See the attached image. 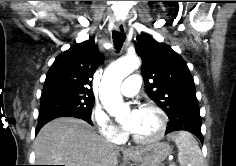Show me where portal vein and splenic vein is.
<instances>
[{
  "label": "portal vein and splenic vein",
  "mask_w": 236,
  "mask_h": 166,
  "mask_svg": "<svg viewBox=\"0 0 236 166\" xmlns=\"http://www.w3.org/2000/svg\"><path fill=\"white\" fill-rule=\"evenodd\" d=\"M169 166H175V165L172 163V164H170Z\"/></svg>",
  "instance_id": "portal-vein-and-splenic-vein-1"
}]
</instances>
